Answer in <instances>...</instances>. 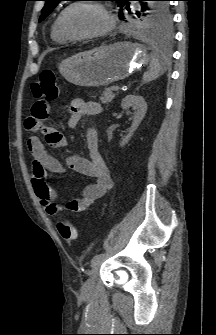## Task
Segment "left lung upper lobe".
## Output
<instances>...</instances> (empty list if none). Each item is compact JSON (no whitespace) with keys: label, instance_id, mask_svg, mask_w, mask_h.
<instances>
[{"label":"left lung upper lobe","instance_id":"1","mask_svg":"<svg viewBox=\"0 0 216 335\" xmlns=\"http://www.w3.org/2000/svg\"><path fill=\"white\" fill-rule=\"evenodd\" d=\"M45 6L42 9L39 22L44 20L63 0H43ZM117 1L120 6V16L123 12V7L139 19L140 28L153 34L170 36L172 33V16L169 6L166 1L168 0H136L143 2L141 10L138 11L130 6L129 1L132 0H111Z\"/></svg>","mask_w":216,"mask_h":335}]
</instances>
